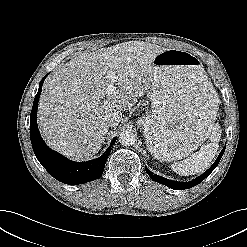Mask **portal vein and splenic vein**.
I'll return each mask as SVG.
<instances>
[{"label":"portal vein and splenic vein","mask_w":247,"mask_h":247,"mask_svg":"<svg viewBox=\"0 0 247 247\" xmlns=\"http://www.w3.org/2000/svg\"><path fill=\"white\" fill-rule=\"evenodd\" d=\"M111 83L107 86L106 91L108 93H113L116 90L114 83L116 82L115 74L110 75Z\"/></svg>","instance_id":"18ae733b"}]
</instances>
